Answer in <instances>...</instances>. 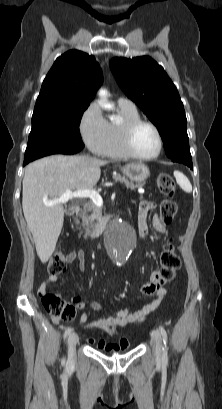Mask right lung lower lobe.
<instances>
[{"label":"right lung lower lobe","mask_w":222,"mask_h":409,"mask_svg":"<svg viewBox=\"0 0 222 409\" xmlns=\"http://www.w3.org/2000/svg\"><path fill=\"white\" fill-rule=\"evenodd\" d=\"M81 149H82V148H78V149H77V152H79ZM28 163H29V162H24V163H23V166H25V165L28 164Z\"/></svg>","instance_id":"98d812e1"}]
</instances>
